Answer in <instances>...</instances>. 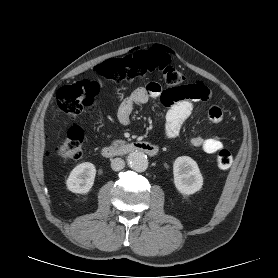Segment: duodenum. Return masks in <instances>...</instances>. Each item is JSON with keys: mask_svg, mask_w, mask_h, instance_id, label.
<instances>
[{"mask_svg": "<svg viewBox=\"0 0 278 278\" xmlns=\"http://www.w3.org/2000/svg\"><path fill=\"white\" fill-rule=\"evenodd\" d=\"M137 152L153 157L157 155L158 147L155 144L149 142H131L117 146H106L101 150L102 156L106 158Z\"/></svg>", "mask_w": 278, "mask_h": 278, "instance_id": "duodenum-1", "label": "duodenum"}]
</instances>
